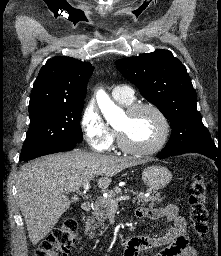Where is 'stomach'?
I'll use <instances>...</instances> for the list:
<instances>
[{"mask_svg":"<svg viewBox=\"0 0 221 256\" xmlns=\"http://www.w3.org/2000/svg\"><path fill=\"white\" fill-rule=\"evenodd\" d=\"M142 179L150 190L156 191L170 183L172 174L166 167L153 165L143 170Z\"/></svg>","mask_w":221,"mask_h":256,"instance_id":"1","label":"stomach"}]
</instances>
